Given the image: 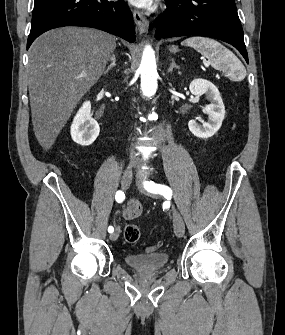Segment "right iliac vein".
I'll return each mask as SVG.
<instances>
[{
  "instance_id": "63e3f726",
  "label": "right iliac vein",
  "mask_w": 285,
  "mask_h": 335,
  "mask_svg": "<svg viewBox=\"0 0 285 335\" xmlns=\"http://www.w3.org/2000/svg\"><path fill=\"white\" fill-rule=\"evenodd\" d=\"M132 177H133V171L132 170H126L123 173L122 179H121V186H122L123 190H127L129 188V186L131 184V181H132ZM119 233H120L119 228H116L115 232L110 235V239L112 241L117 240L118 237H119Z\"/></svg>"
}]
</instances>
